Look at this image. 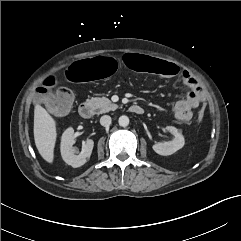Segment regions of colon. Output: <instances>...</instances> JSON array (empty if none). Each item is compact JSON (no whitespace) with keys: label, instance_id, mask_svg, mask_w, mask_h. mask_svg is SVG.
Masks as SVG:
<instances>
[{"label":"colon","instance_id":"1","mask_svg":"<svg viewBox=\"0 0 241 241\" xmlns=\"http://www.w3.org/2000/svg\"><path fill=\"white\" fill-rule=\"evenodd\" d=\"M123 63L135 70L144 71L155 76H173L179 77L182 69L174 64L164 62L152 56L129 55L123 58ZM119 62L117 58L110 53H101L95 57L80 59L65 66L61 70V77L69 81L72 85H81L87 81L101 80L111 78L117 74ZM55 79L48 78L44 82L43 92L55 86ZM73 97L70 91L61 89L55 94L47 95L43 98L47 107L53 111H64L72 103ZM205 109L202 108L198 114V120L204 118Z\"/></svg>","mask_w":241,"mask_h":241}]
</instances>
